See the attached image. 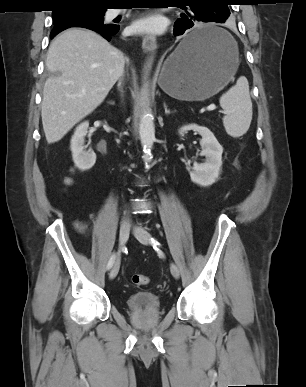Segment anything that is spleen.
<instances>
[{
    "instance_id": "obj_1",
    "label": "spleen",
    "mask_w": 306,
    "mask_h": 387,
    "mask_svg": "<svg viewBox=\"0 0 306 387\" xmlns=\"http://www.w3.org/2000/svg\"><path fill=\"white\" fill-rule=\"evenodd\" d=\"M220 106L224 110L223 125L228 135H244L252 120V101L246 77L241 76L236 84L220 97Z\"/></svg>"
}]
</instances>
